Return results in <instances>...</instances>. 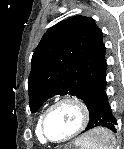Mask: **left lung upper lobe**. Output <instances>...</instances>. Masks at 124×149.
Listing matches in <instances>:
<instances>
[{
  "label": "left lung upper lobe",
  "mask_w": 124,
  "mask_h": 149,
  "mask_svg": "<svg viewBox=\"0 0 124 149\" xmlns=\"http://www.w3.org/2000/svg\"><path fill=\"white\" fill-rule=\"evenodd\" d=\"M105 50L102 31L90 17L73 16L48 29L31 60V112L55 95H73L86 103L105 82Z\"/></svg>",
  "instance_id": "left-lung-upper-lobe-1"
}]
</instances>
